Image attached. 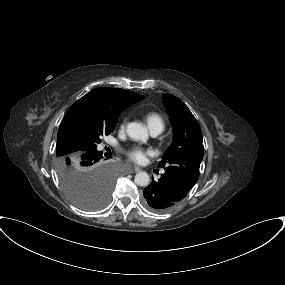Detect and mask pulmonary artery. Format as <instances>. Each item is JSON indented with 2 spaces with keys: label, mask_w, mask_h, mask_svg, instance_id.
Listing matches in <instances>:
<instances>
[{
  "label": "pulmonary artery",
  "mask_w": 285,
  "mask_h": 285,
  "mask_svg": "<svg viewBox=\"0 0 285 285\" xmlns=\"http://www.w3.org/2000/svg\"><path fill=\"white\" fill-rule=\"evenodd\" d=\"M159 133H160L159 130H151V134H152L153 136H156V135H158Z\"/></svg>",
  "instance_id": "e3ab8cb5"
}]
</instances>
